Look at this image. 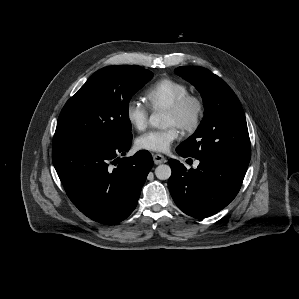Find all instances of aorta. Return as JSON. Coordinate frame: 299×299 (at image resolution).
Returning a JSON list of instances; mask_svg holds the SVG:
<instances>
[{
    "mask_svg": "<svg viewBox=\"0 0 299 299\" xmlns=\"http://www.w3.org/2000/svg\"><path fill=\"white\" fill-rule=\"evenodd\" d=\"M149 122L150 124L158 129H166L169 127V121L168 118L166 116V114L162 113V112H156L151 114L150 118H149ZM171 168L169 165L166 164H161L159 166L156 167L155 169V175L158 179L160 180H167L170 178L171 176Z\"/></svg>",
    "mask_w": 299,
    "mask_h": 299,
    "instance_id": "1",
    "label": "aorta"
}]
</instances>
